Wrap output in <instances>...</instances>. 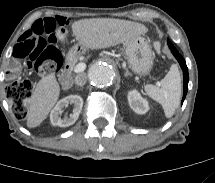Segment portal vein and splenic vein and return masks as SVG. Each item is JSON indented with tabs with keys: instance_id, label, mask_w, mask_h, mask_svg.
<instances>
[{
	"instance_id": "1",
	"label": "portal vein and splenic vein",
	"mask_w": 215,
	"mask_h": 183,
	"mask_svg": "<svg viewBox=\"0 0 215 183\" xmlns=\"http://www.w3.org/2000/svg\"><path fill=\"white\" fill-rule=\"evenodd\" d=\"M86 68V64L81 62V63H78L75 68H74V72L75 73H80V72H83Z\"/></svg>"
}]
</instances>
